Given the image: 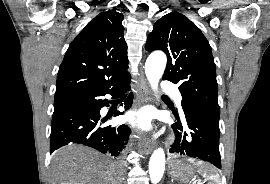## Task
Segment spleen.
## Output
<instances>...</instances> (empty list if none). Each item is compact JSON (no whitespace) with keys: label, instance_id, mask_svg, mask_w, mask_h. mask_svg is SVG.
I'll return each mask as SVG.
<instances>
[{"label":"spleen","instance_id":"spleen-1","mask_svg":"<svg viewBox=\"0 0 270 184\" xmlns=\"http://www.w3.org/2000/svg\"><path fill=\"white\" fill-rule=\"evenodd\" d=\"M199 172L203 177L207 178L210 182L209 184H220V177L217 173H214L213 170L202 162L196 163Z\"/></svg>","mask_w":270,"mask_h":184}]
</instances>
